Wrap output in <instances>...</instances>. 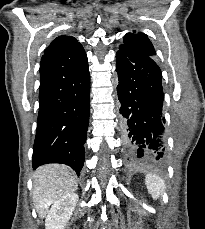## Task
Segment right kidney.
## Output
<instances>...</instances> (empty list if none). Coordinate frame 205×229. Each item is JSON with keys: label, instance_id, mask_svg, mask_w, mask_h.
<instances>
[{"label": "right kidney", "instance_id": "obj_1", "mask_svg": "<svg viewBox=\"0 0 205 229\" xmlns=\"http://www.w3.org/2000/svg\"><path fill=\"white\" fill-rule=\"evenodd\" d=\"M78 195L67 194L54 202L45 221L46 229H64L78 202Z\"/></svg>", "mask_w": 205, "mask_h": 229}]
</instances>
